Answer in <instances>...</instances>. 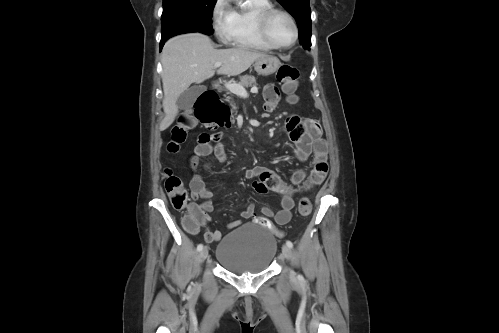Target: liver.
<instances>
[{"instance_id":"liver-1","label":"liver","mask_w":499,"mask_h":333,"mask_svg":"<svg viewBox=\"0 0 499 333\" xmlns=\"http://www.w3.org/2000/svg\"><path fill=\"white\" fill-rule=\"evenodd\" d=\"M267 54L244 47L215 49L211 39L201 33H187L170 38L162 51L163 110L160 131L167 129L178 114L176 101L192 83H202L214 76H235L246 71ZM221 62L215 70V63Z\"/></svg>"}]
</instances>
